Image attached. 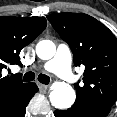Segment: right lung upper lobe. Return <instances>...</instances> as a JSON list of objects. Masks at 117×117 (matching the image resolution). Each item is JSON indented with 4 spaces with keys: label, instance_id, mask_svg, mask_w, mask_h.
<instances>
[{
    "label": "right lung upper lobe",
    "instance_id": "right-lung-upper-lobe-1",
    "mask_svg": "<svg viewBox=\"0 0 117 117\" xmlns=\"http://www.w3.org/2000/svg\"><path fill=\"white\" fill-rule=\"evenodd\" d=\"M44 17H0V112L12 105L29 87L21 77L2 74L9 65H21L19 53L46 28Z\"/></svg>",
    "mask_w": 117,
    "mask_h": 117
}]
</instances>
